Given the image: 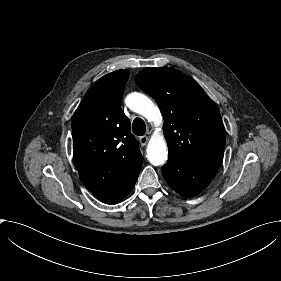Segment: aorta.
<instances>
[{
    "label": "aorta",
    "mask_w": 281,
    "mask_h": 281,
    "mask_svg": "<svg viewBox=\"0 0 281 281\" xmlns=\"http://www.w3.org/2000/svg\"><path fill=\"white\" fill-rule=\"evenodd\" d=\"M126 105L134 112L144 116L149 122L160 125L162 116L158 107L146 95L138 92L129 94ZM168 157L166 141L160 133H154L147 146V158L154 166L165 164Z\"/></svg>",
    "instance_id": "aorta-1"
}]
</instances>
